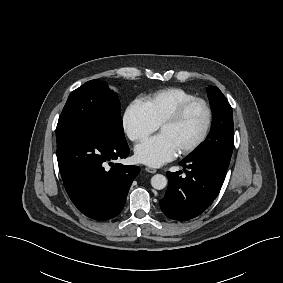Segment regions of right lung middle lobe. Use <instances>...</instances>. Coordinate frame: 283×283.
<instances>
[{"mask_svg":"<svg viewBox=\"0 0 283 283\" xmlns=\"http://www.w3.org/2000/svg\"><path fill=\"white\" fill-rule=\"evenodd\" d=\"M88 127L99 128L115 138L125 139L119 98L103 81H88L69 95L58 120L57 143L73 132Z\"/></svg>","mask_w":283,"mask_h":283,"instance_id":"obj_1","label":"right lung middle lobe"}]
</instances>
